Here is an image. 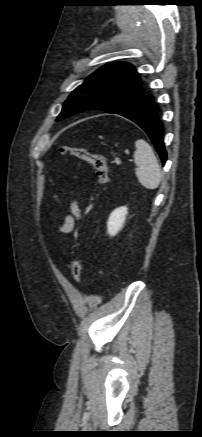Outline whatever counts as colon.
Instances as JSON below:
<instances>
[{"label": "colon", "mask_w": 202, "mask_h": 437, "mask_svg": "<svg viewBox=\"0 0 202 437\" xmlns=\"http://www.w3.org/2000/svg\"><path fill=\"white\" fill-rule=\"evenodd\" d=\"M62 155H70L79 160L87 162L96 172L98 181L101 185H106L110 181V175L105 159L98 153L79 146H63L59 149ZM73 280L78 283L82 276V264L78 257H75L71 264Z\"/></svg>", "instance_id": "5ec220e1"}]
</instances>
